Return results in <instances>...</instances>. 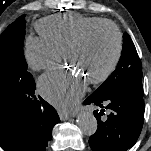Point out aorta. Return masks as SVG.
Returning <instances> with one entry per match:
<instances>
[{
  "label": "aorta",
  "mask_w": 151,
  "mask_h": 151,
  "mask_svg": "<svg viewBox=\"0 0 151 151\" xmlns=\"http://www.w3.org/2000/svg\"><path fill=\"white\" fill-rule=\"evenodd\" d=\"M77 125L84 135H93L98 127L97 120L92 113L82 112L77 117Z\"/></svg>",
  "instance_id": "obj_1"
}]
</instances>
